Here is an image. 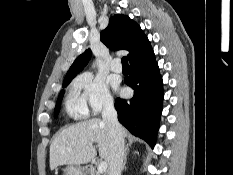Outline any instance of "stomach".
Instances as JSON below:
<instances>
[{"label": "stomach", "instance_id": "1", "mask_svg": "<svg viewBox=\"0 0 233 175\" xmlns=\"http://www.w3.org/2000/svg\"><path fill=\"white\" fill-rule=\"evenodd\" d=\"M64 175H86L85 169L78 165H69L64 169Z\"/></svg>", "mask_w": 233, "mask_h": 175}]
</instances>
